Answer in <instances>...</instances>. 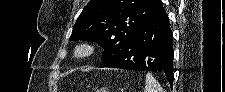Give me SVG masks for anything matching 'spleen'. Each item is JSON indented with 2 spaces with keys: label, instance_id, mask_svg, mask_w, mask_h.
I'll use <instances>...</instances> for the list:
<instances>
[{
  "label": "spleen",
  "instance_id": "obj_1",
  "mask_svg": "<svg viewBox=\"0 0 225 92\" xmlns=\"http://www.w3.org/2000/svg\"><path fill=\"white\" fill-rule=\"evenodd\" d=\"M144 92H164L161 85L156 81L151 73L146 75Z\"/></svg>",
  "mask_w": 225,
  "mask_h": 92
}]
</instances>
